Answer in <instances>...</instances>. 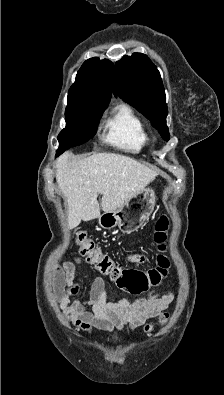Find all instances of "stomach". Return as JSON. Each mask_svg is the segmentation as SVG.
I'll list each match as a JSON object with an SVG mask.
<instances>
[{"label":"stomach","instance_id":"stomach-1","mask_svg":"<svg viewBox=\"0 0 224 395\" xmlns=\"http://www.w3.org/2000/svg\"><path fill=\"white\" fill-rule=\"evenodd\" d=\"M156 199L154 189L145 187L116 210L104 211L98 217V223L104 229L118 227L123 233H130L149 219Z\"/></svg>","mask_w":224,"mask_h":395}]
</instances>
